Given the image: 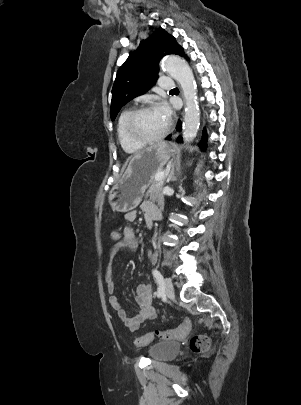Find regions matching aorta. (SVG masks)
<instances>
[{
  "mask_svg": "<svg viewBox=\"0 0 301 405\" xmlns=\"http://www.w3.org/2000/svg\"><path fill=\"white\" fill-rule=\"evenodd\" d=\"M162 68L181 86L185 101L183 123V140L192 142L197 135L200 122V109L197 102V87L191 68L178 56H167L162 61Z\"/></svg>",
  "mask_w": 301,
  "mask_h": 405,
  "instance_id": "762f6f07",
  "label": "aorta"
}]
</instances>
